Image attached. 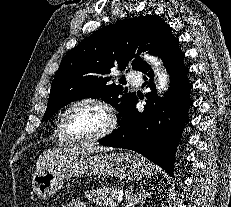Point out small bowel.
<instances>
[{
	"mask_svg": "<svg viewBox=\"0 0 231 207\" xmlns=\"http://www.w3.org/2000/svg\"><path fill=\"white\" fill-rule=\"evenodd\" d=\"M63 207H86L83 201L79 199L72 200L63 205Z\"/></svg>",
	"mask_w": 231,
	"mask_h": 207,
	"instance_id": "c3829d8e",
	"label": "small bowel"
}]
</instances>
